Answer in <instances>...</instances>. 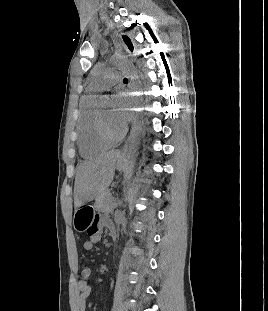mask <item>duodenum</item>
I'll return each instance as SVG.
<instances>
[{
    "instance_id": "1",
    "label": "duodenum",
    "mask_w": 268,
    "mask_h": 311,
    "mask_svg": "<svg viewBox=\"0 0 268 311\" xmlns=\"http://www.w3.org/2000/svg\"><path fill=\"white\" fill-rule=\"evenodd\" d=\"M111 235H112V238H113V239H116V238H117V233H116L115 229H114V230H111Z\"/></svg>"
}]
</instances>
